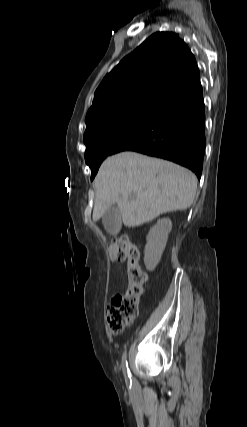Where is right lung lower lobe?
<instances>
[{"mask_svg": "<svg viewBox=\"0 0 247 427\" xmlns=\"http://www.w3.org/2000/svg\"><path fill=\"white\" fill-rule=\"evenodd\" d=\"M205 107L200 79L165 99L112 154L136 151L167 159L200 179L205 154Z\"/></svg>", "mask_w": 247, "mask_h": 427, "instance_id": "98d812e1", "label": "right lung lower lobe"}]
</instances>
